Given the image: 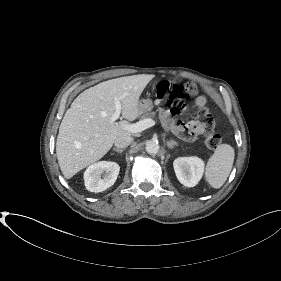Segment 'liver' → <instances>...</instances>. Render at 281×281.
I'll list each match as a JSON object with an SVG mask.
<instances>
[{
	"label": "liver",
	"instance_id": "obj_1",
	"mask_svg": "<svg viewBox=\"0 0 281 281\" xmlns=\"http://www.w3.org/2000/svg\"><path fill=\"white\" fill-rule=\"evenodd\" d=\"M152 78L140 74L111 79L77 96L62 119L56 141L58 163L66 179L101 159L118 137L132 135L124 126L140 115L139 98ZM116 99H120L125 119L119 123L111 120Z\"/></svg>",
	"mask_w": 281,
	"mask_h": 281
}]
</instances>
